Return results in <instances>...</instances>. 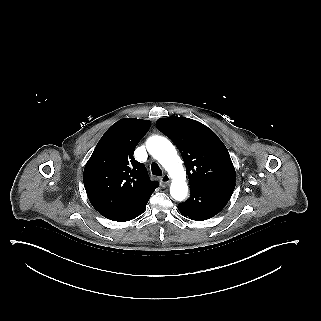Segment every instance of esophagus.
I'll use <instances>...</instances> for the list:
<instances>
[{"label":"esophagus","instance_id":"obj_1","mask_svg":"<svg viewBox=\"0 0 321 321\" xmlns=\"http://www.w3.org/2000/svg\"><path fill=\"white\" fill-rule=\"evenodd\" d=\"M171 181V177L168 174H165L162 176V178L160 179V185L165 188L167 186H169Z\"/></svg>","mask_w":321,"mask_h":321}]
</instances>
